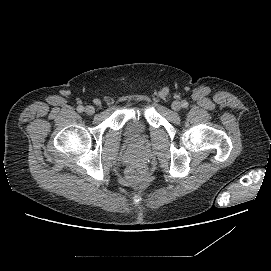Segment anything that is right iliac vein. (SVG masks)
<instances>
[{
    "mask_svg": "<svg viewBox=\"0 0 271 271\" xmlns=\"http://www.w3.org/2000/svg\"><path fill=\"white\" fill-rule=\"evenodd\" d=\"M85 112H86V114H88V115H92V114L95 113V109H94L93 106H87V107L85 108Z\"/></svg>",
    "mask_w": 271,
    "mask_h": 271,
    "instance_id": "1",
    "label": "right iliac vein"
}]
</instances>
